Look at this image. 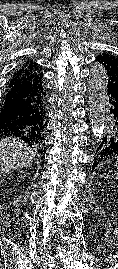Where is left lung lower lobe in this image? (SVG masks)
I'll return each mask as SVG.
<instances>
[{
  "label": "left lung lower lobe",
  "instance_id": "0a47b994",
  "mask_svg": "<svg viewBox=\"0 0 118 269\" xmlns=\"http://www.w3.org/2000/svg\"><path fill=\"white\" fill-rule=\"evenodd\" d=\"M107 117L105 133L100 139L97 156L92 166L94 168L104 159L118 156V95L107 93Z\"/></svg>",
  "mask_w": 118,
  "mask_h": 269
}]
</instances>
